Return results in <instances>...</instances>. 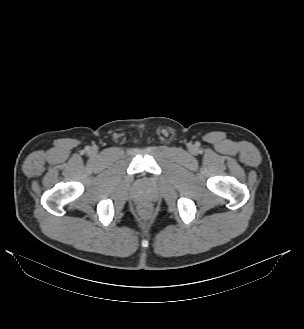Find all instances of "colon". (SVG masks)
<instances>
[{
    "instance_id": "colon-1",
    "label": "colon",
    "mask_w": 304,
    "mask_h": 329,
    "mask_svg": "<svg viewBox=\"0 0 304 329\" xmlns=\"http://www.w3.org/2000/svg\"><path fill=\"white\" fill-rule=\"evenodd\" d=\"M142 212L143 213H147L148 212V208L147 207H142Z\"/></svg>"
}]
</instances>
